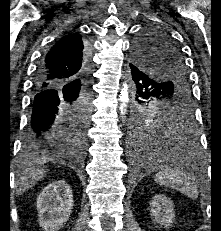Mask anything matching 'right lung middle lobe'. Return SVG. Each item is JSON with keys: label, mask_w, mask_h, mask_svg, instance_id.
Here are the masks:
<instances>
[{"label": "right lung middle lobe", "mask_w": 221, "mask_h": 231, "mask_svg": "<svg viewBox=\"0 0 221 231\" xmlns=\"http://www.w3.org/2000/svg\"><path fill=\"white\" fill-rule=\"evenodd\" d=\"M90 103H80L68 111L65 116V127L68 133L80 143H86Z\"/></svg>", "instance_id": "1"}]
</instances>
